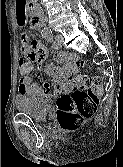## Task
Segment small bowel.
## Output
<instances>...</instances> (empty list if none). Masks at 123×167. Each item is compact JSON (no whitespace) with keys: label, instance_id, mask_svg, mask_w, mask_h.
<instances>
[{"label":"small bowel","instance_id":"1","mask_svg":"<svg viewBox=\"0 0 123 167\" xmlns=\"http://www.w3.org/2000/svg\"><path fill=\"white\" fill-rule=\"evenodd\" d=\"M16 5V14H17V24H27V13H25L27 8V1L25 0H15ZM37 21L33 19L32 26L36 27ZM21 52L29 60L27 66L22 69L20 68L21 78L18 87V92L20 95L26 96H44L45 89L40 85L32 82L29 74L33 69L34 62H41L47 57L46 48L38 42L30 43L29 35L23 33L21 35ZM63 54H58L59 57ZM46 71L51 73L53 81L57 84H60L62 88L68 89L70 87V77L72 75L73 66L68 65L65 69L58 68L53 65H47Z\"/></svg>","mask_w":123,"mask_h":167}]
</instances>
